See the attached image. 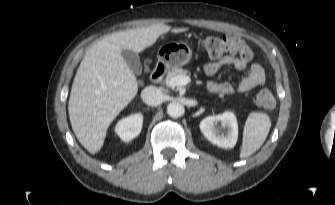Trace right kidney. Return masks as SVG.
Segmentation results:
<instances>
[{
  "instance_id": "obj_1",
  "label": "right kidney",
  "mask_w": 335,
  "mask_h": 205,
  "mask_svg": "<svg viewBox=\"0 0 335 205\" xmlns=\"http://www.w3.org/2000/svg\"><path fill=\"white\" fill-rule=\"evenodd\" d=\"M143 124V115L135 113L118 121L115 126V133L124 142H128L137 137Z\"/></svg>"
}]
</instances>
